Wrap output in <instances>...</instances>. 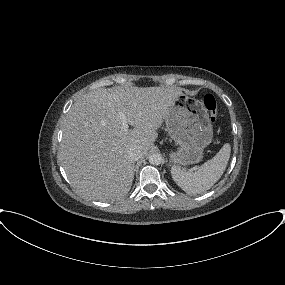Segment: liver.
<instances>
[{
    "mask_svg": "<svg viewBox=\"0 0 285 285\" xmlns=\"http://www.w3.org/2000/svg\"><path fill=\"white\" fill-rule=\"evenodd\" d=\"M182 91L176 87L125 86L97 89L78 98L63 122L59 160L72 185L102 201L124 197L132 186L131 146L143 155ZM123 112L132 129H122Z\"/></svg>",
    "mask_w": 285,
    "mask_h": 285,
    "instance_id": "6515ba94",
    "label": "liver"
}]
</instances>
